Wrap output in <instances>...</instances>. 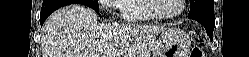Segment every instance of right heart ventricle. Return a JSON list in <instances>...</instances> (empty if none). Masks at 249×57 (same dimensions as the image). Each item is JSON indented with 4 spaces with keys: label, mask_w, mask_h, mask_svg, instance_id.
I'll return each mask as SVG.
<instances>
[{
    "label": "right heart ventricle",
    "mask_w": 249,
    "mask_h": 57,
    "mask_svg": "<svg viewBox=\"0 0 249 57\" xmlns=\"http://www.w3.org/2000/svg\"><path fill=\"white\" fill-rule=\"evenodd\" d=\"M120 8L123 17L126 20L144 21L152 18L145 8L144 0H123Z\"/></svg>",
    "instance_id": "right-heart-ventricle-1"
}]
</instances>
